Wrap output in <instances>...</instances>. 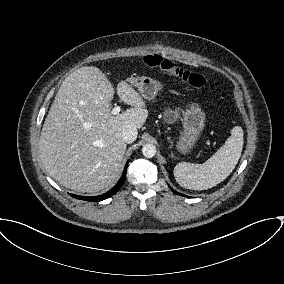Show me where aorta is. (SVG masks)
I'll list each match as a JSON object with an SVG mask.
<instances>
[{"mask_svg":"<svg viewBox=\"0 0 284 284\" xmlns=\"http://www.w3.org/2000/svg\"><path fill=\"white\" fill-rule=\"evenodd\" d=\"M142 154L146 158H152L156 155V146L151 143H147L142 147Z\"/></svg>","mask_w":284,"mask_h":284,"instance_id":"1","label":"aorta"}]
</instances>
